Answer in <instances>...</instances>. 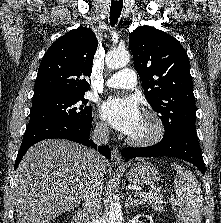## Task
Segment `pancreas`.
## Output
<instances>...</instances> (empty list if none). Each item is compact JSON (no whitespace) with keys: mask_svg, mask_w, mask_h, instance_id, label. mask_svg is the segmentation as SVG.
I'll list each match as a JSON object with an SVG mask.
<instances>
[{"mask_svg":"<svg viewBox=\"0 0 221 223\" xmlns=\"http://www.w3.org/2000/svg\"><path fill=\"white\" fill-rule=\"evenodd\" d=\"M143 200L155 211L159 213L163 211L165 199L161 194L152 193L148 197H144Z\"/></svg>","mask_w":221,"mask_h":223,"instance_id":"cf45deb5","label":"pancreas"}]
</instances>
